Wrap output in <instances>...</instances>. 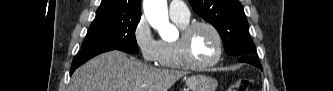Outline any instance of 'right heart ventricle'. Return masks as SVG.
Returning a JSON list of instances; mask_svg holds the SVG:
<instances>
[{"label": "right heart ventricle", "instance_id": "right-heart-ventricle-1", "mask_svg": "<svg viewBox=\"0 0 333 91\" xmlns=\"http://www.w3.org/2000/svg\"><path fill=\"white\" fill-rule=\"evenodd\" d=\"M175 24L183 29L190 22V18L181 19L172 17ZM159 66L164 68L185 69L187 68L180 58L179 46L177 40L175 41H160V53L158 62Z\"/></svg>", "mask_w": 333, "mask_h": 91}]
</instances>
